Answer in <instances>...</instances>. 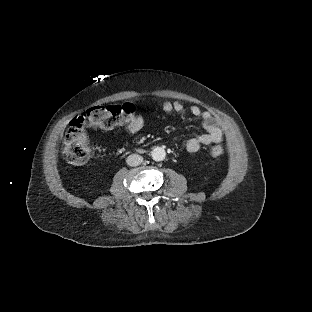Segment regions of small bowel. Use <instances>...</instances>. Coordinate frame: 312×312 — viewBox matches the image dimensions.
<instances>
[{"label": "small bowel", "mask_w": 312, "mask_h": 312, "mask_svg": "<svg viewBox=\"0 0 312 312\" xmlns=\"http://www.w3.org/2000/svg\"><path fill=\"white\" fill-rule=\"evenodd\" d=\"M162 109L166 113L177 112L181 113L184 106L179 101H165ZM189 112L192 116L200 118L202 125L206 130L205 133L189 139L186 143V150L190 153L196 152L201 146L218 143L223 139V129L220 120L209 111L203 110L198 105H191ZM145 124L144 117L138 114L131 118L127 123V128L130 132L136 133L140 131Z\"/></svg>", "instance_id": "1"}]
</instances>
